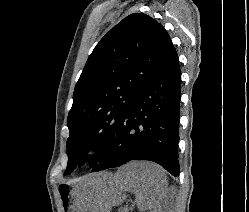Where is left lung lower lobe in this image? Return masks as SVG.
<instances>
[{"label":"left lung lower lobe","mask_w":249,"mask_h":212,"mask_svg":"<svg viewBox=\"0 0 249 212\" xmlns=\"http://www.w3.org/2000/svg\"><path fill=\"white\" fill-rule=\"evenodd\" d=\"M180 84L179 60L172 45L131 100L112 146L92 172L149 160L178 176Z\"/></svg>","instance_id":"1"}]
</instances>
